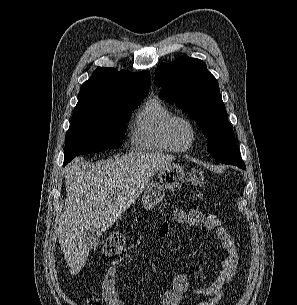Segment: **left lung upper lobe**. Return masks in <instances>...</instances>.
I'll return each mask as SVG.
<instances>
[{
	"mask_svg": "<svg viewBox=\"0 0 297 305\" xmlns=\"http://www.w3.org/2000/svg\"><path fill=\"white\" fill-rule=\"evenodd\" d=\"M155 83L163 87L161 98L196 121L207 139L208 152L217 162L245 168L218 82L202 60L183 56L169 65L163 63L155 71Z\"/></svg>",
	"mask_w": 297,
	"mask_h": 305,
	"instance_id": "5c2ea615",
	"label": "left lung upper lobe"
}]
</instances>
